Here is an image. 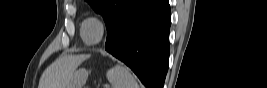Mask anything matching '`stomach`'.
Wrapping results in <instances>:
<instances>
[{
    "mask_svg": "<svg viewBox=\"0 0 267 88\" xmlns=\"http://www.w3.org/2000/svg\"><path fill=\"white\" fill-rule=\"evenodd\" d=\"M88 77V71L85 69L77 70L66 88H82Z\"/></svg>",
    "mask_w": 267,
    "mask_h": 88,
    "instance_id": "0dacf381",
    "label": "stomach"
}]
</instances>
